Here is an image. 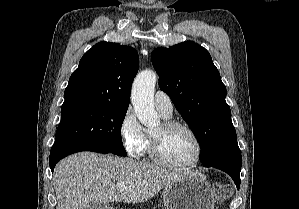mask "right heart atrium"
<instances>
[{
	"label": "right heart atrium",
	"mask_w": 299,
	"mask_h": 209,
	"mask_svg": "<svg viewBox=\"0 0 299 209\" xmlns=\"http://www.w3.org/2000/svg\"><path fill=\"white\" fill-rule=\"evenodd\" d=\"M119 133L129 156L139 158L144 153L148 139L134 111L128 108L120 122Z\"/></svg>",
	"instance_id": "1"
}]
</instances>
